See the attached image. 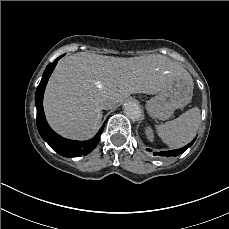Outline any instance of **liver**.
<instances>
[{
  "label": "liver",
  "mask_w": 229,
  "mask_h": 229,
  "mask_svg": "<svg viewBox=\"0 0 229 229\" xmlns=\"http://www.w3.org/2000/svg\"><path fill=\"white\" fill-rule=\"evenodd\" d=\"M174 80L193 86L188 71L163 55L115 58L81 52L59 61L46 89L45 112L60 134L88 138L101 125L103 104L110 109L131 94L158 95Z\"/></svg>",
  "instance_id": "liver-1"
}]
</instances>
